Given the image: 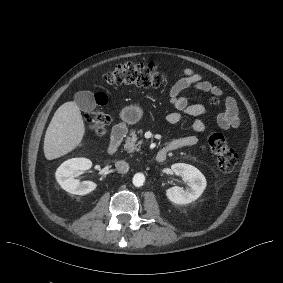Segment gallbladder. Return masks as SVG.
Listing matches in <instances>:
<instances>
[{
	"label": "gallbladder",
	"mask_w": 283,
	"mask_h": 283,
	"mask_svg": "<svg viewBox=\"0 0 283 283\" xmlns=\"http://www.w3.org/2000/svg\"><path fill=\"white\" fill-rule=\"evenodd\" d=\"M75 101L84 112H91L96 109L95 96L90 91H79L75 94Z\"/></svg>",
	"instance_id": "obj_1"
}]
</instances>
